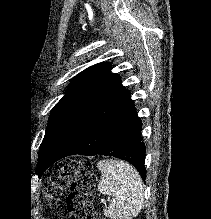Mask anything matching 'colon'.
I'll return each mask as SVG.
<instances>
[{"label":"colon","mask_w":211,"mask_h":219,"mask_svg":"<svg viewBox=\"0 0 211 219\" xmlns=\"http://www.w3.org/2000/svg\"><path fill=\"white\" fill-rule=\"evenodd\" d=\"M96 184L91 163L66 160L60 163L45 185V193L52 206H57L67 193L68 210L72 219H103L93 204L92 190Z\"/></svg>","instance_id":"obj_1"}]
</instances>
